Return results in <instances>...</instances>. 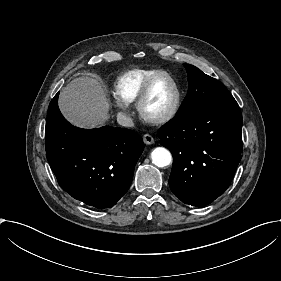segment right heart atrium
I'll list each match as a JSON object with an SVG mask.
<instances>
[{
  "mask_svg": "<svg viewBox=\"0 0 281 281\" xmlns=\"http://www.w3.org/2000/svg\"><path fill=\"white\" fill-rule=\"evenodd\" d=\"M117 108L119 109V111L123 114V116L125 118H130L132 116V112L130 109H128L127 107H125L124 105L118 103L117 104Z\"/></svg>",
  "mask_w": 281,
  "mask_h": 281,
  "instance_id": "d8ad5b80",
  "label": "right heart atrium"
}]
</instances>
